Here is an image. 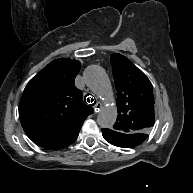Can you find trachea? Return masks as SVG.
<instances>
[{
    "mask_svg": "<svg viewBox=\"0 0 193 193\" xmlns=\"http://www.w3.org/2000/svg\"><path fill=\"white\" fill-rule=\"evenodd\" d=\"M90 94H87L86 96H85V99H86V97L87 96H89ZM91 97H88L86 100H85V102L87 103H92V102H94V103H92V104H90V105H94L95 103H96V100H94L93 98H91Z\"/></svg>",
    "mask_w": 193,
    "mask_h": 193,
    "instance_id": "trachea-1",
    "label": "trachea"
}]
</instances>
